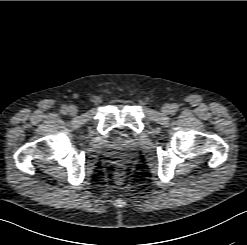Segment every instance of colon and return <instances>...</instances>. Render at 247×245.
<instances>
[{
    "instance_id": "colon-1",
    "label": "colon",
    "mask_w": 247,
    "mask_h": 245,
    "mask_svg": "<svg viewBox=\"0 0 247 245\" xmlns=\"http://www.w3.org/2000/svg\"><path fill=\"white\" fill-rule=\"evenodd\" d=\"M123 176H124V175H123L122 172H119L118 175H117V177H118L119 180H122V179H123Z\"/></svg>"
}]
</instances>
